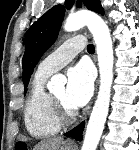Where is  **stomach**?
Listing matches in <instances>:
<instances>
[{
    "label": "stomach",
    "mask_w": 139,
    "mask_h": 150,
    "mask_svg": "<svg viewBox=\"0 0 139 150\" xmlns=\"http://www.w3.org/2000/svg\"><path fill=\"white\" fill-rule=\"evenodd\" d=\"M61 150H73L72 147L62 146Z\"/></svg>",
    "instance_id": "0dacf381"
}]
</instances>
